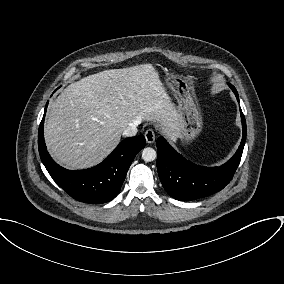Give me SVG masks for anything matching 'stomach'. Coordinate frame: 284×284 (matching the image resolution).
Returning a JSON list of instances; mask_svg holds the SVG:
<instances>
[{
    "instance_id": "obj_1",
    "label": "stomach",
    "mask_w": 284,
    "mask_h": 284,
    "mask_svg": "<svg viewBox=\"0 0 284 284\" xmlns=\"http://www.w3.org/2000/svg\"><path fill=\"white\" fill-rule=\"evenodd\" d=\"M166 85L177 101L180 136L183 142H190L199 135L203 117L197 102L193 82L183 75L167 74Z\"/></svg>"
}]
</instances>
